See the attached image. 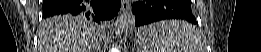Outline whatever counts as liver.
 <instances>
[{
  "label": "liver",
  "instance_id": "1",
  "mask_svg": "<svg viewBox=\"0 0 261 52\" xmlns=\"http://www.w3.org/2000/svg\"><path fill=\"white\" fill-rule=\"evenodd\" d=\"M70 15L45 19L38 32V52H96L97 29L88 21L62 20Z\"/></svg>",
  "mask_w": 261,
  "mask_h": 52
}]
</instances>
